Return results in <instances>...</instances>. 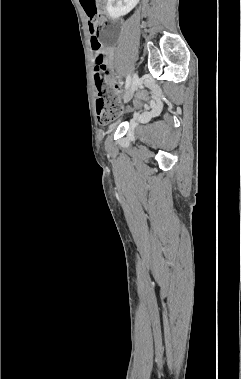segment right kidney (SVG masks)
Returning a JSON list of instances; mask_svg holds the SVG:
<instances>
[{"label": "right kidney", "mask_w": 241, "mask_h": 379, "mask_svg": "<svg viewBox=\"0 0 241 379\" xmlns=\"http://www.w3.org/2000/svg\"><path fill=\"white\" fill-rule=\"evenodd\" d=\"M139 0H108L107 12L112 19L128 14Z\"/></svg>", "instance_id": "obj_1"}]
</instances>
